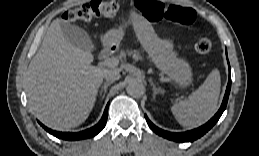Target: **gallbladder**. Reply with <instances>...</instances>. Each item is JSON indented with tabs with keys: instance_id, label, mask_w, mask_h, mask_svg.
<instances>
[{
	"instance_id": "bac80fb5",
	"label": "gallbladder",
	"mask_w": 259,
	"mask_h": 156,
	"mask_svg": "<svg viewBox=\"0 0 259 156\" xmlns=\"http://www.w3.org/2000/svg\"><path fill=\"white\" fill-rule=\"evenodd\" d=\"M61 29L65 39L72 45L88 51L94 49V44L91 38L81 27L68 22H62Z\"/></svg>"
}]
</instances>
